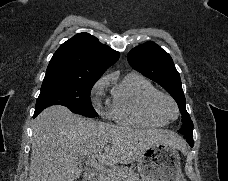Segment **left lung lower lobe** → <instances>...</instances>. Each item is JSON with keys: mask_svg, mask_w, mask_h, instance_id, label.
<instances>
[{"mask_svg": "<svg viewBox=\"0 0 228 181\" xmlns=\"http://www.w3.org/2000/svg\"><path fill=\"white\" fill-rule=\"evenodd\" d=\"M184 135V138L187 140L188 144L193 147L194 141H193V132H186Z\"/></svg>", "mask_w": 228, "mask_h": 181, "instance_id": "obj_1", "label": "left lung lower lobe"}]
</instances>
